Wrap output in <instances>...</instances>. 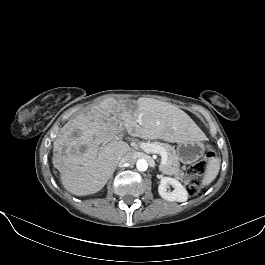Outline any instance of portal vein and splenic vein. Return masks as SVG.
I'll return each instance as SVG.
<instances>
[{
    "mask_svg": "<svg viewBox=\"0 0 265 265\" xmlns=\"http://www.w3.org/2000/svg\"><path fill=\"white\" fill-rule=\"evenodd\" d=\"M140 148L147 153L159 154L161 156V164L162 165L166 164V162L168 160L167 152L161 146L154 144V143L141 142Z\"/></svg>",
    "mask_w": 265,
    "mask_h": 265,
    "instance_id": "18ae733b",
    "label": "portal vein and splenic vein"
}]
</instances>
